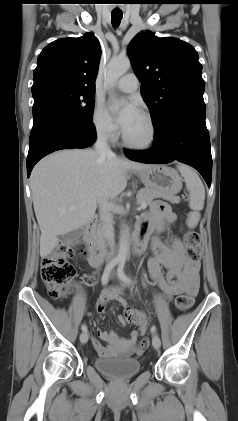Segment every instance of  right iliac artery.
Listing matches in <instances>:
<instances>
[{"label": "right iliac artery", "instance_id": "82829eb1", "mask_svg": "<svg viewBox=\"0 0 238 421\" xmlns=\"http://www.w3.org/2000/svg\"><path fill=\"white\" fill-rule=\"evenodd\" d=\"M118 262H119L118 259H114L106 266L101 278L102 285H106L108 283L110 273L112 269L118 264ZM81 329L83 332H87L88 330L85 324L82 325Z\"/></svg>", "mask_w": 238, "mask_h": 421}]
</instances>
